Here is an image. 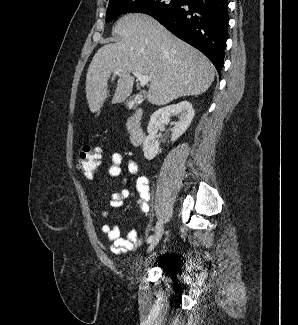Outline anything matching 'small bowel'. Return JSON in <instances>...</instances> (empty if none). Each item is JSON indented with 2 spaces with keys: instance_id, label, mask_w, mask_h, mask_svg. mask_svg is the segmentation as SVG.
<instances>
[{
  "instance_id": "small-bowel-1",
  "label": "small bowel",
  "mask_w": 298,
  "mask_h": 325,
  "mask_svg": "<svg viewBox=\"0 0 298 325\" xmlns=\"http://www.w3.org/2000/svg\"><path fill=\"white\" fill-rule=\"evenodd\" d=\"M138 171L139 167L135 161L126 159L119 152L112 153L111 165L108 168L109 177H118L120 175L125 177L122 180V188L112 194L110 206L120 208L123 201L130 194L129 185H134L139 194L138 205L144 215L148 216L150 214L149 202L151 201L149 179L146 176L138 175ZM109 215V209L104 208L101 210L102 217L107 218ZM101 230L110 241V250L114 254H123L135 250L143 243V238L134 230L129 231L125 238L121 237L117 226L104 224Z\"/></svg>"
}]
</instances>
